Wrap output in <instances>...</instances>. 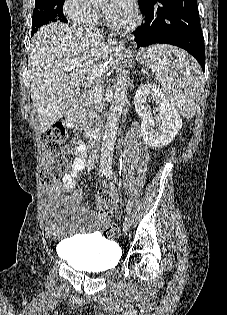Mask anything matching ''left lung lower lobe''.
<instances>
[{
	"mask_svg": "<svg viewBox=\"0 0 227 315\" xmlns=\"http://www.w3.org/2000/svg\"><path fill=\"white\" fill-rule=\"evenodd\" d=\"M145 23L134 31L137 48L171 44L188 51L205 71V46L196 0H151L139 6Z\"/></svg>",
	"mask_w": 227,
	"mask_h": 315,
	"instance_id": "0a47b994",
	"label": "left lung lower lobe"
}]
</instances>
